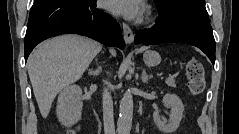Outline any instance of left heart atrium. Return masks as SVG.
I'll use <instances>...</instances> for the list:
<instances>
[{
    "label": "left heart atrium",
    "instance_id": "39dd6f15",
    "mask_svg": "<svg viewBox=\"0 0 239 134\" xmlns=\"http://www.w3.org/2000/svg\"><path fill=\"white\" fill-rule=\"evenodd\" d=\"M106 6L111 12L127 19H137L144 12V4L140 0H107Z\"/></svg>",
    "mask_w": 239,
    "mask_h": 134
}]
</instances>
